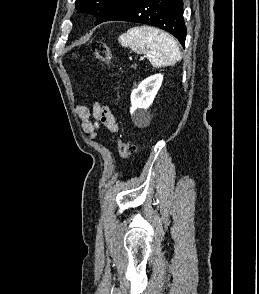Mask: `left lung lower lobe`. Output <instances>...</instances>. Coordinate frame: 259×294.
<instances>
[{
	"mask_svg": "<svg viewBox=\"0 0 259 294\" xmlns=\"http://www.w3.org/2000/svg\"><path fill=\"white\" fill-rule=\"evenodd\" d=\"M113 20L157 26L174 35L183 46L185 44L182 0H125L103 22Z\"/></svg>",
	"mask_w": 259,
	"mask_h": 294,
	"instance_id": "0a47b994",
	"label": "left lung lower lobe"
}]
</instances>
